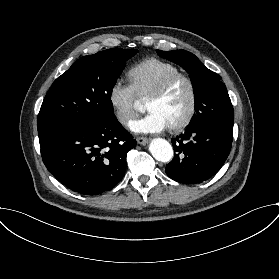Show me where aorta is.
<instances>
[{
    "label": "aorta",
    "instance_id": "762f6f07",
    "mask_svg": "<svg viewBox=\"0 0 279 279\" xmlns=\"http://www.w3.org/2000/svg\"><path fill=\"white\" fill-rule=\"evenodd\" d=\"M149 151L157 161L164 163L171 161L174 154L171 144L162 138L153 139L149 145Z\"/></svg>",
    "mask_w": 279,
    "mask_h": 279
}]
</instances>
